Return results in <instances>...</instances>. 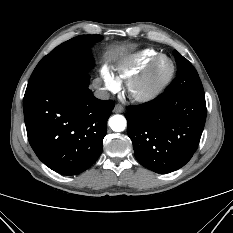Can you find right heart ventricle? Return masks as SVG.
Returning a JSON list of instances; mask_svg holds the SVG:
<instances>
[{
	"mask_svg": "<svg viewBox=\"0 0 233 233\" xmlns=\"http://www.w3.org/2000/svg\"><path fill=\"white\" fill-rule=\"evenodd\" d=\"M158 55L159 53L153 49L143 50L134 56L133 61L128 66L114 69L117 78L114 77L119 82L129 80L147 67Z\"/></svg>",
	"mask_w": 233,
	"mask_h": 233,
	"instance_id": "1",
	"label": "right heart ventricle"
}]
</instances>
